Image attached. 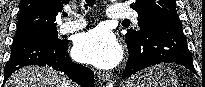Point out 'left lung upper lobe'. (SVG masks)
I'll list each match as a JSON object with an SVG mask.
<instances>
[{
    "mask_svg": "<svg viewBox=\"0 0 205 87\" xmlns=\"http://www.w3.org/2000/svg\"><path fill=\"white\" fill-rule=\"evenodd\" d=\"M130 7L138 13L140 30H127L125 35L127 44L141 41L154 19L166 14H177L175 0H133Z\"/></svg>",
    "mask_w": 205,
    "mask_h": 87,
    "instance_id": "1",
    "label": "left lung upper lobe"
}]
</instances>
